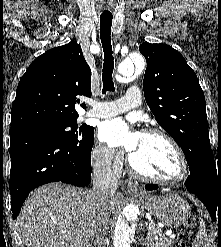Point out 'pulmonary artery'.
Listing matches in <instances>:
<instances>
[{
	"instance_id": "pulmonary-artery-1",
	"label": "pulmonary artery",
	"mask_w": 221,
	"mask_h": 247,
	"mask_svg": "<svg viewBox=\"0 0 221 247\" xmlns=\"http://www.w3.org/2000/svg\"><path fill=\"white\" fill-rule=\"evenodd\" d=\"M141 104V93L138 87L128 88L124 97L104 102L86 112L87 117L107 118L123 113Z\"/></svg>"
}]
</instances>
